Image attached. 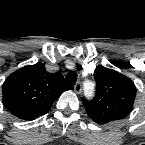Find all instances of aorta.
I'll return each instance as SVG.
<instances>
[{"label": "aorta", "instance_id": "aorta-1", "mask_svg": "<svg viewBox=\"0 0 145 145\" xmlns=\"http://www.w3.org/2000/svg\"><path fill=\"white\" fill-rule=\"evenodd\" d=\"M84 93L86 96L91 97L94 93V83L87 82L84 84Z\"/></svg>", "mask_w": 145, "mask_h": 145}]
</instances>
